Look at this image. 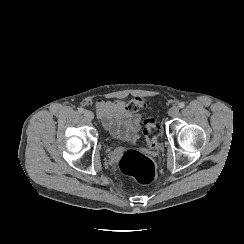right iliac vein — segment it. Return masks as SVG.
I'll return each mask as SVG.
<instances>
[{"label": "right iliac vein", "mask_w": 244, "mask_h": 244, "mask_svg": "<svg viewBox=\"0 0 244 244\" xmlns=\"http://www.w3.org/2000/svg\"><path fill=\"white\" fill-rule=\"evenodd\" d=\"M84 116L87 120H93L94 119V114L89 110L84 111Z\"/></svg>", "instance_id": "obj_1"}]
</instances>
